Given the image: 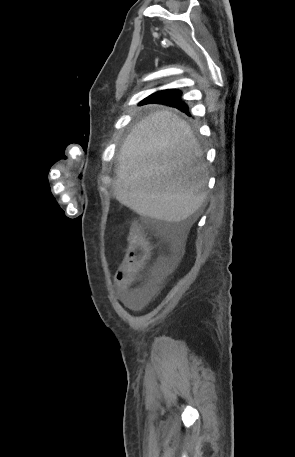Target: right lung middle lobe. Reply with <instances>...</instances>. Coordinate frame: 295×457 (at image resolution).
I'll return each mask as SVG.
<instances>
[{"label": "right lung middle lobe", "instance_id": "1", "mask_svg": "<svg viewBox=\"0 0 295 457\" xmlns=\"http://www.w3.org/2000/svg\"><path fill=\"white\" fill-rule=\"evenodd\" d=\"M178 95H179V92L174 89H168V90L161 91L158 94V102H163L166 99L174 98Z\"/></svg>", "mask_w": 295, "mask_h": 457}]
</instances>
